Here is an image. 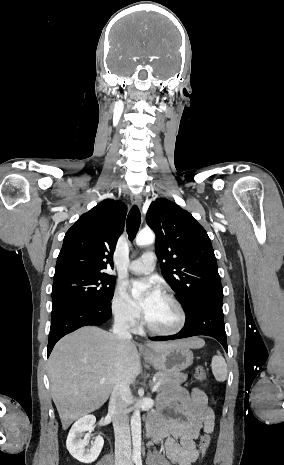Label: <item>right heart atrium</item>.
<instances>
[{
	"label": "right heart atrium",
	"mask_w": 284,
	"mask_h": 465,
	"mask_svg": "<svg viewBox=\"0 0 284 465\" xmlns=\"http://www.w3.org/2000/svg\"><path fill=\"white\" fill-rule=\"evenodd\" d=\"M110 313L114 321L125 329H132L139 322L137 311L127 302L121 288L116 289L112 296Z\"/></svg>",
	"instance_id": "right-heart-atrium-1"
}]
</instances>
